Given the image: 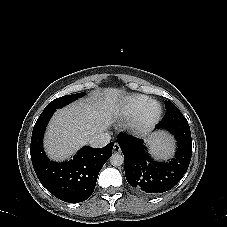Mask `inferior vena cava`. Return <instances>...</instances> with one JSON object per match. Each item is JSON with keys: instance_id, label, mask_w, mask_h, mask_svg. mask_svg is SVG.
Instances as JSON below:
<instances>
[{"instance_id": "602c4592", "label": "inferior vena cava", "mask_w": 227, "mask_h": 227, "mask_svg": "<svg viewBox=\"0 0 227 227\" xmlns=\"http://www.w3.org/2000/svg\"><path fill=\"white\" fill-rule=\"evenodd\" d=\"M111 140V136L107 132H100L92 136L89 140V145L93 148H101L106 146Z\"/></svg>"}]
</instances>
